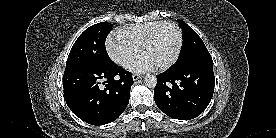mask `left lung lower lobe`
Segmentation results:
<instances>
[{
  "label": "left lung lower lobe",
  "instance_id": "obj_1",
  "mask_svg": "<svg viewBox=\"0 0 276 138\" xmlns=\"http://www.w3.org/2000/svg\"><path fill=\"white\" fill-rule=\"evenodd\" d=\"M214 86L212 60L181 69L171 68L157 76L154 100L159 109L169 117L190 120L207 108Z\"/></svg>",
  "mask_w": 276,
  "mask_h": 138
}]
</instances>
